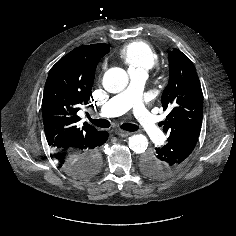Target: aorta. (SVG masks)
I'll use <instances>...</instances> for the list:
<instances>
[{"mask_svg":"<svg viewBox=\"0 0 236 236\" xmlns=\"http://www.w3.org/2000/svg\"><path fill=\"white\" fill-rule=\"evenodd\" d=\"M128 80V75L124 69L110 68L104 74L103 87L110 93H119L126 88ZM128 145L135 153H143L148 147V139L143 134H136L129 138Z\"/></svg>","mask_w":236,"mask_h":236,"instance_id":"1","label":"aorta"}]
</instances>
